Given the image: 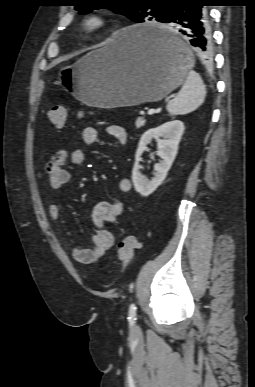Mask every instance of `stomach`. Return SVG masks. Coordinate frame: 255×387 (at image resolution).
Here are the masks:
<instances>
[{
    "label": "stomach",
    "instance_id": "0dacf381",
    "mask_svg": "<svg viewBox=\"0 0 255 387\" xmlns=\"http://www.w3.org/2000/svg\"><path fill=\"white\" fill-rule=\"evenodd\" d=\"M156 23L121 30L102 48L60 69V83L81 102L100 108L155 102L182 85L193 64L189 47L167 31L182 53L170 55L144 39ZM166 31V30H164Z\"/></svg>",
    "mask_w": 255,
    "mask_h": 387
}]
</instances>
